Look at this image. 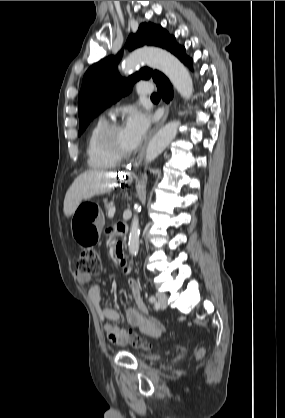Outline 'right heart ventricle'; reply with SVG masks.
I'll return each mask as SVG.
<instances>
[{
	"label": "right heart ventricle",
	"instance_id": "e07e8e85",
	"mask_svg": "<svg viewBox=\"0 0 285 418\" xmlns=\"http://www.w3.org/2000/svg\"><path fill=\"white\" fill-rule=\"evenodd\" d=\"M105 123L106 122L102 119L98 120L88 132L85 140V156L87 164L89 168L94 171L112 168L119 162L107 158L96 144V136Z\"/></svg>",
	"mask_w": 285,
	"mask_h": 418
}]
</instances>
